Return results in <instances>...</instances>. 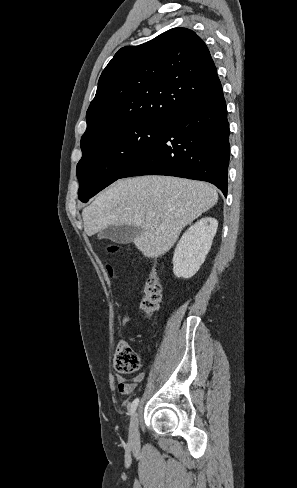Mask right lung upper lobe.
Returning <instances> with one entry per match:
<instances>
[{"mask_svg":"<svg viewBox=\"0 0 297 488\" xmlns=\"http://www.w3.org/2000/svg\"><path fill=\"white\" fill-rule=\"evenodd\" d=\"M220 89L210 52L192 30L173 28L142 45L123 47L99 78L81 150L133 123L169 121Z\"/></svg>","mask_w":297,"mask_h":488,"instance_id":"cb5924a9","label":"right lung upper lobe"}]
</instances>
